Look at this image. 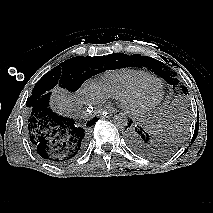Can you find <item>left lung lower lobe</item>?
Returning <instances> with one entry per match:
<instances>
[{"label":"left lung lower lobe","mask_w":213,"mask_h":213,"mask_svg":"<svg viewBox=\"0 0 213 213\" xmlns=\"http://www.w3.org/2000/svg\"><path fill=\"white\" fill-rule=\"evenodd\" d=\"M133 122L129 121V129L126 126V140L129 147L137 154L150 157L160 158L165 155L164 147L160 141L157 132L150 130L144 126H132Z\"/></svg>","instance_id":"1"}]
</instances>
